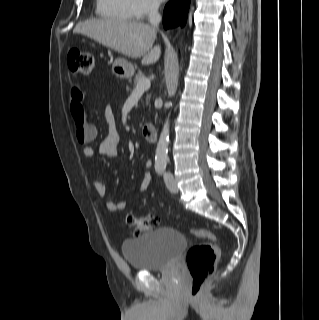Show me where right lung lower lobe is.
<instances>
[{
	"instance_id": "right-lung-lower-lobe-1",
	"label": "right lung lower lobe",
	"mask_w": 319,
	"mask_h": 320,
	"mask_svg": "<svg viewBox=\"0 0 319 320\" xmlns=\"http://www.w3.org/2000/svg\"><path fill=\"white\" fill-rule=\"evenodd\" d=\"M190 0H170L163 15L164 28L184 26L187 20Z\"/></svg>"
}]
</instances>
